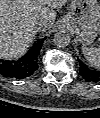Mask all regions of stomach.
<instances>
[{
    "instance_id": "1",
    "label": "stomach",
    "mask_w": 100,
    "mask_h": 118,
    "mask_svg": "<svg viewBox=\"0 0 100 118\" xmlns=\"http://www.w3.org/2000/svg\"><path fill=\"white\" fill-rule=\"evenodd\" d=\"M63 23L82 45H90L100 33V5L97 0H72Z\"/></svg>"
}]
</instances>
